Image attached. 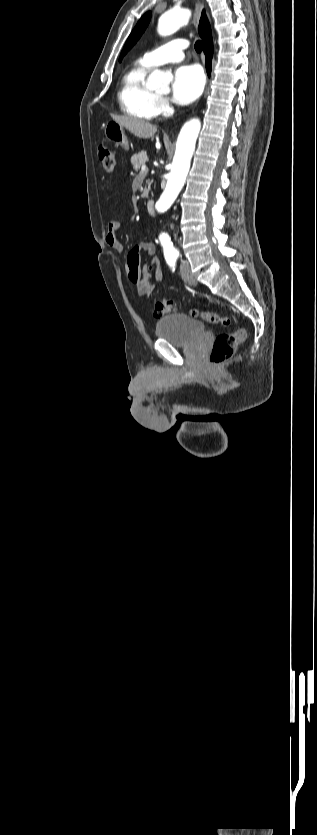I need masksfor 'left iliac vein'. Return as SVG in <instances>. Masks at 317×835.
<instances>
[{
	"label": "left iliac vein",
	"mask_w": 317,
	"mask_h": 835,
	"mask_svg": "<svg viewBox=\"0 0 317 835\" xmlns=\"http://www.w3.org/2000/svg\"><path fill=\"white\" fill-rule=\"evenodd\" d=\"M180 270H181V276H182V279H183V280H184L187 284L192 285V286H193V285H196V280H195V278L193 277V275H192V273H191V270H190V265H189V263H188L187 261H183V262L181 263Z\"/></svg>",
	"instance_id": "obj_1"
}]
</instances>
